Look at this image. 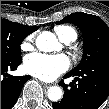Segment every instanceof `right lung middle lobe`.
Listing matches in <instances>:
<instances>
[{
	"mask_svg": "<svg viewBox=\"0 0 109 109\" xmlns=\"http://www.w3.org/2000/svg\"><path fill=\"white\" fill-rule=\"evenodd\" d=\"M33 30L26 25L1 19V61L16 62L21 60L20 45Z\"/></svg>",
	"mask_w": 109,
	"mask_h": 109,
	"instance_id": "1",
	"label": "right lung middle lobe"
}]
</instances>
